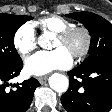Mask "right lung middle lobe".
Instances as JSON below:
<instances>
[{
  "instance_id": "obj_1",
  "label": "right lung middle lobe",
  "mask_w": 112,
  "mask_h": 112,
  "mask_svg": "<svg viewBox=\"0 0 112 112\" xmlns=\"http://www.w3.org/2000/svg\"><path fill=\"white\" fill-rule=\"evenodd\" d=\"M32 17L0 13V72L21 60L14 46L17 29Z\"/></svg>"
}]
</instances>
